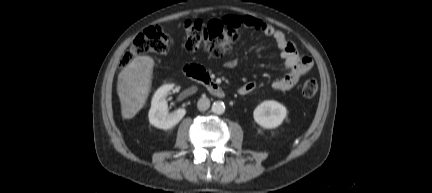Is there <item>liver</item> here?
Listing matches in <instances>:
<instances>
[{"label": "liver", "mask_w": 432, "mask_h": 193, "mask_svg": "<svg viewBox=\"0 0 432 193\" xmlns=\"http://www.w3.org/2000/svg\"><path fill=\"white\" fill-rule=\"evenodd\" d=\"M154 60L149 56L135 58L118 75L117 93L124 119L133 118L148 98Z\"/></svg>", "instance_id": "1"}]
</instances>
